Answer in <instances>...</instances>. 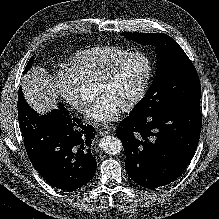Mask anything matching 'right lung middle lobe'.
<instances>
[{
	"label": "right lung middle lobe",
	"mask_w": 219,
	"mask_h": 219,
	"mask_svg": "<svg viewBox=\"0 0 219 219\" xmlns=\"http://www.w3.org/2000/svg\"><path fill=\"white\" fill-rule=\"evenodd\" d=\"M32 62H33V57H31L30 60H29V62L27 63V66H26V68H25L24 73H26V71L31 67V63H32ZM59 104H61V103H59Z\"/></svg>",
	"instance_id": "dd1d6c3e"
}]
</instances>
